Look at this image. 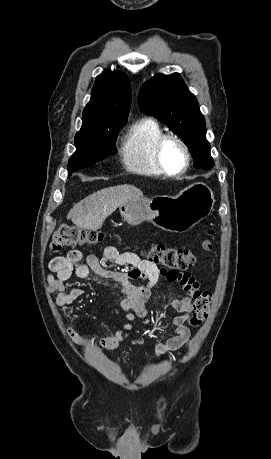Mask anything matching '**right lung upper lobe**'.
<instances>
[{
  "label": "right lung upper lobe",
  "mask_w": 271,
  "mask_h": 459,
  "mask_svg": "<svg viewBox=\"0 0 271 459\" xmlns=\"http://www.w3.org/2000/svg\"><path fill=\"white\" fill-rule=\"evenodd\" d=\"M131 104V88L127 75L105 70L96 78L92 97L83 111V121L93 119H126Z\"/></svg>",
  "instance_id": "cb5924a9"
}]
</instances>
